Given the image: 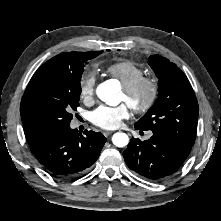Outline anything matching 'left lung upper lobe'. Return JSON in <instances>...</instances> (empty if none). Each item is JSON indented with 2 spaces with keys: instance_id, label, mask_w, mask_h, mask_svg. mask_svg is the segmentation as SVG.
I'll use <instances>...</instances> for the list:
<instances>
[{
  "instance_id": "5c2ea615",
  "label": "left lung upper lobe",
  "mask_w": 221,
  "mask_h": 221,
  "mask_svg": "<svg viewBox=\"0 0 221 221\" xmlns=\"http://www.w3.org/2000/svg\"><path fill=\"white\" fill-rule=\"evenodd\" d=\"M149 65L159 79V96L135 127L192 147L196 139L198 104L189 80L176 64L160 55L150 56Z\"/></svg>"
}]
</instances>
